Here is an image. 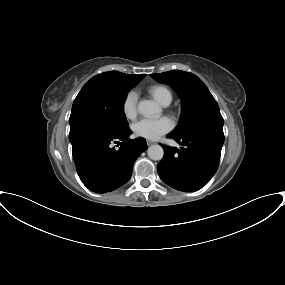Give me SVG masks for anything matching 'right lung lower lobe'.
Segmentation results:
<instances>
[{
  "mask_svg": "<svg viewBox=\"0 0 285 285\" xmlns=\"http://www.w3.org/2000/svg\"><path fill=\"white\" fill-rule=\"evenodd\" d=\"M131 133L130 129L118 135L87 132L70 141L78 175L89 190L105 193L128 181L135 160L147 149L145 139L130 140ZM113 142L120 144L119 149L112 147Z\"/></svg>",
  "mask_w": 285,
  "mask_h": 285,
  "instance_id": "1",
  "label": "right lung lower lobe"
}]
</instances>
